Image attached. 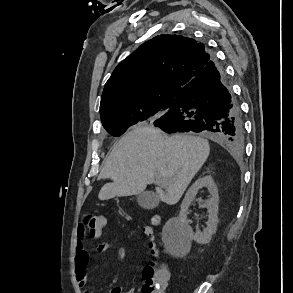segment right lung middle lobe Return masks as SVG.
<instances>
[{
	"instance_id": "right-lung-middle-lobe-1",
	"label": "right lung middle lobe",
	"mask_w": 293,
	"mask_h": 293,
	"mask_svg": "<svg viewBox=\"0 0 293 293\" xmlns=\"http://www.w3.org/2000/svg\"><path fill=\"white\" fill-rule=\"evenodd\" d=\"M176 98L170 100H165L158 104L157 106L149 109H145L139 112L129 113L126 115H115L108 116L101 119L103 127L108 133L113 136L122 135L128 127L137 122L144 120H156L166 112L173 110L176 107Z\"/></svg>"
}]
</instances>
